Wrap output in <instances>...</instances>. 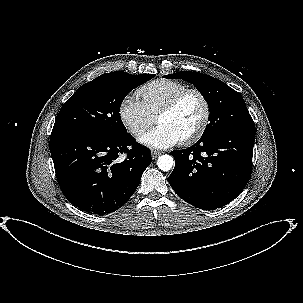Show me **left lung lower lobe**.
Masks as SVG:
<instances>
[{
  "label": "left lung lower lobe",
  "mask_w": 303,
  "mask_h": 303,
  "mask_svg": "<svg viewBox=\"0 0 303 303\" xmlns=\"http://www.w3.org/2000/svg\"><path fill=\"white\" fill-rule=\"evenodd\" d=\"M254 142L255 128H236L172 151L175 168L168 182L179 197L197 208L227 205L250 178Z\"/></svg>",
  "instance_id": "obj_1"
}]
</instances>
